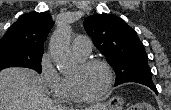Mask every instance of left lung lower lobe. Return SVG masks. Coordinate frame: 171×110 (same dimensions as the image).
<instances>
[{
  "label": "left lung lower lobe",
  "instance_id": "1",
  "mask_svg": "<svg viewBox=\"0 0 171 110\" xmlns=\"http://www.w3.org/2000/svg\"><path fill=\"white\" fill-rule=\"evenodd\" d=\"M146 86H148L149 88H151L156 94H158V91L155 87V85L153 83H148V84H144Z\"/></svg>",
  "mask_w": 171,
  "mask_h": 110
}]
</instances>
